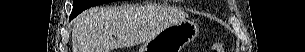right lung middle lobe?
<instances>
[{"instance_id": "right-lung-middle-lobe-1", "label": "right lung middle lobe", "mask_w": 305, "mask_h": 52, "mask_svg": "<svg viewBox=\"0 0 305 52\" xmlns=\"http://www.w3.org/2000/svg\"><path fill=\"white\" fill-rule=\"evenodd\" d=\"M115 0H74L73 1V10L71 15L76 17L82 11L99 4L111 2Z\"/></svg>"}]
</instances>
